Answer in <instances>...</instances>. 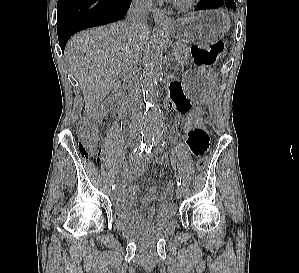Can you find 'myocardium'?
<instances>
[{"label":"myocardium","mask_w":299,"mask_h":273,"mask_svg":"<svg viewBox=\"0 0 299 273\" xmlns=\"http://www.w3.org/2000/svg\"><path fill=\"white\" fill-rule=\"evenodd\" d=\"M171 6L179 11H188L192 9L199 0H186V1H178V0H168Z\"/></svg>","instance_id":"obj_1"}]
</instances>
